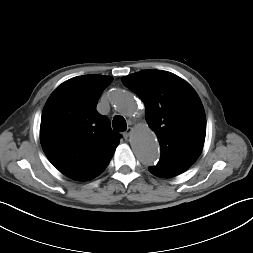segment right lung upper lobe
<instances>
[{
	"mask_svg": "<svg viewBox=\"0 0 253 253\" xmlns=\"http://www.w3.org/2000/svg\"><path fill=\"white\" fill-rule=\"evenodd\" d=\"M113 78L83 75L71 78L47 100L40 141L49 161L64 175L87 181L101 174L111 160L121 135L112 131L97 102Z\"/></svg>",
	"mask_w": 253,
	"mask_h": 253,
	"instance_id": "1",
	"label": "right lung upper lobe"
}]
</instances>
